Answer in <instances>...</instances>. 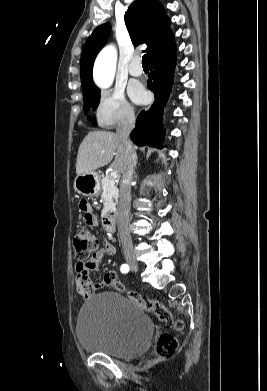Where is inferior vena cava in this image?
Wrapping results in <instances>:
<instances>
[{
  "label": "inferior vena cava",
  "instance_id": "602c4592",
  "mask_svg": "<svg viewBox=\"0 0 267 391\" xmlns=\"http://www.w3.org/2000/svg\"><path fill=\"white\" fill-rule=\"evenodd\" d=\"M135 126V115L128 112L118 124L116 134L124 146L127 156V168L123 173V181L120 188L119 206H118V231L125 253L132 252L133 245L128 229L131 203V182L133 172L137 162V155L133 149L129 135Z\"/></svg>",
  "mask_w": 267,
  "mask_h": 391
}]
</instances>
